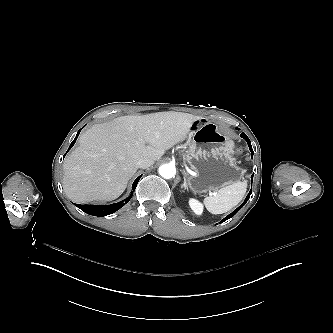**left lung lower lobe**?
I'll use <instances>...</instances> for the list:
<instances>
[{"instance_id":"1","label":"left lung lower lobe","mask_w":333,"mask_h":333,"mask_svg":"<svg viewBox=\"0 0 333 333\" xmlns=\"http://www.w3.org/2000/svg\"><path fill=\"white\" fill-rule=\"evenodd\" d=\"M241 137L244 138L247 141L249 149H250V151L253 154V150H252V146H251V142H250L249 138L246 136L245 133H241ZM251 193H252V189L250 190V192L247 195L246 199L244 200L243 204H241L236 210H234L227 217H225L220 223H222L223 221H226V220L232 218L245 205V203L249 200Z\"/></svg>"}]
</instances>
